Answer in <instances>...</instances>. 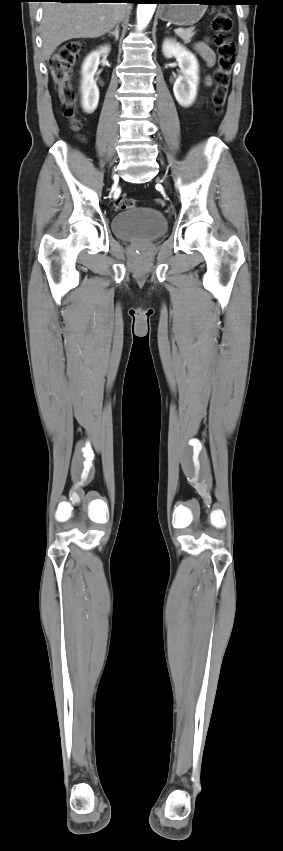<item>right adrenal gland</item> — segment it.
<instances>
[{
    "label": "right adrenal gland",
    "instance_id": "right-adrenal-gland-1",
    "mask_svg": "<svg viewBox=\"0 0 283 851\" xmlns=\"http://www.w3.org/2000/svg\"><path fill=\"white\" fill-rule=\"evenodd\" d=\"M108 35H109V36H114V37H115V40H116V41H118V39H119V26L117 25V27L115 28V30H114V31L109 32V33H108Z\"/></svg>",
    "mask_w": 283,
    "mask_h": 851
}]
</instances>
